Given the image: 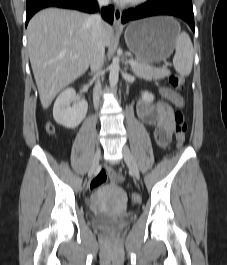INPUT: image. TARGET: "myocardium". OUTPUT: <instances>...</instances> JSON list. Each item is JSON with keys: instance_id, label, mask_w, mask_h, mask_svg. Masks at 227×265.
<instances>
[{"instance_id": "1", "label": "myocardium", "mask_w": 227, "mask_h": 265, "mask_svg": "<svg viewBox=\"0 0 227 265\" xmlns=\"http://www.w3.org/2000/svg\"><path fill=\"white\" fill-rule=\"evenodd\" d=\"M146 1L147 0H128V1H125L124 3L126 5H129V6H137V5H140Z\"/></svg>"}]
</instances>
